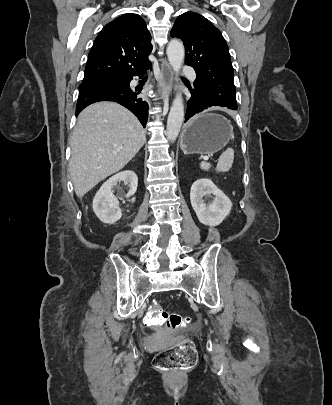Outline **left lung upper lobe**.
Masks as SVG:
<instances>
[{
  "mask_svg": "<svg viewBox=\"0 0 332 405\" xmlns=\"http://www.w3.org/2000/svg\"><path fill=\"white\" fill-rule=\"evenodd\" d=\"M170 35L183 41L185 63L196 71L193 92L210 106L237 110L233 67L220 31L203 16L186 12L177 17Z\"/></svg>",
  "mask_w": 332,
  "mask_h": 405,
  "instance_id": "obj_1",
  "label": "left lung upper lobe"
}]
</instances>
